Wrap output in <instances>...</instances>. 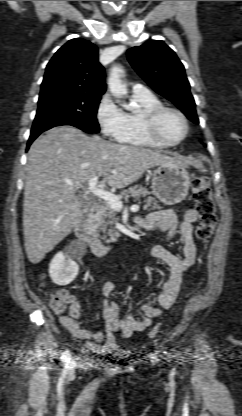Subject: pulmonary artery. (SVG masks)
<instances>
[{
    "label": "pulmonary artery",
    "instance_id": "obj_1",
    "mask_svg": "<svg viewBox=\"0 0 242 416\" xmlns=\"http://www.w3.org/2000/svg\"><path fill=\"white\" fill-rule=\"evenodd\" d=\"M132 91L133 92H147L148 88L143 84H134L132 86Z\"/></svg>",
    "mask_w": 242,
    "mask_h": 416
}]
</instances>
